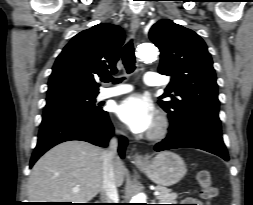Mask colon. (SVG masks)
Returning a JSON list of instances; mask_svg holds the SVG:
<instances>
[{
  "label": "colon",
  "instance_id": "colon-1",
  "mask_svg": "<svg viewBox=\"0 0 253 205\" xmlns=\"http://www.w3.org/2000/svg\"><path fill=\"white\" fill-rule=\"evenodd\" d=\"M197 179L200 187L201 197L207 202L214 200L217 196V189L214 186L210 173L205 170L200 171Z\"/></svg>",
  "mask_w": 253,
  "mask_h": 205
}]
</instances>
